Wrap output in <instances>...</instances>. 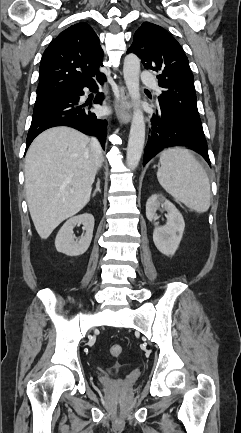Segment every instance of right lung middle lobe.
Returning a JSON list of instances; mask_svg holds the SVG:
<instances>
[{
  "mask_svg": "<svg viewBox=\"0 0 241 433\" xmlns=\"http://www.w3.org/2000/svg\"><path fill=\"white\" fill-rule=\"evenodd\" d=\"M62 96H63L62 93H53V94H45V95L37 96L33 112H36L46 107L50 103L60 99Z\"/></svg>",
  "mask_w": 241,
  "mask_h": 433,
  "instance_id": "1",
  "label": "right lung middle lobe"
}]
</instances>
